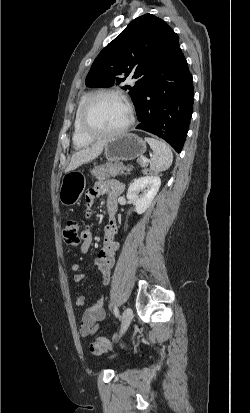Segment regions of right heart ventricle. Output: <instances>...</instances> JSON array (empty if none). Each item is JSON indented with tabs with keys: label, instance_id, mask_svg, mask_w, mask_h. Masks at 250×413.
I'll list each match as a JSON object with an SVG mask.
<instances>
[{
	"label": "right heart ventricle",
	"instance_id": "obj_1",
	"mask_svg": "<svg viewBox=\"0 0 250 413\" xmlns=\"http://www.w3.org/2000/svg\"><path fill=\"white\" fill-rule=\"evenodd\" d=\"M89 95H90L89 92H85L81 95V97L78 100L76 110H75V115H74V120H73L72 141L76 148L86 147L93 141L92 138L86 136L82 132L81 127H80L81 110Z\"/></svg>",
	"mask_w": 250,
	"mask_h": 413
}]
</instances>
